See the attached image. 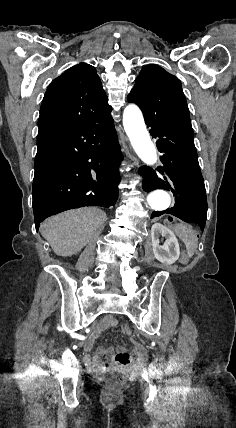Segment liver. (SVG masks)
<instances>
[{"label": "liver", "instance_id": "6515ba94", "mask_svg": "<svg viewBox=\"0 0 236 428\" xmlns=\"http://www.w3.org/2000/svg\"><path fill=\"white\" fill-rule=\"evenodd\" d=\"M107 216L99 208L69 210L47 218L40 228L41 236L57 256H73L81 252L94 234H101Z\"/></svg>", "mask_w": 236, "mask_h": 428}]
</instances>
